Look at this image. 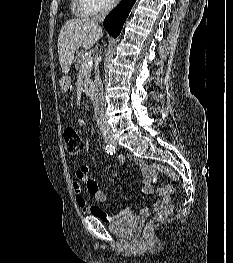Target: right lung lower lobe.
Here are the masks:
<instances>
[{"instance_id":"right-lung-lower-lobe-1","label":"right lung lower lobe","mask_w":233,"mask_h":263,"mask_svg":"<svg viewBox=\"0 0 233 263\" xmlns=\"http://www.w3.org/2000/svg\"><path fill=\"white\" fill-rule=\"evenodd\" d=\"M136 0H122L104 19L105 30L114 38L120 34L123 24L128 17Z\"/></svg>"}]
</instances>
